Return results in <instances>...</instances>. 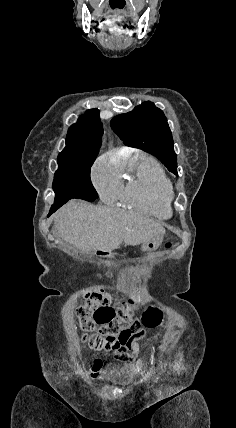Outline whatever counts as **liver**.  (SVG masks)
Here are the masks:
<instances>
[{
	"instance_id": "obj_1",
	"label": "liver",
	"mask_w": 236,
	"mask_h": 428,
	"mask_svg": "<svg viewBox=\"0 0 236 428\" xmlns=\"http://www.w3.org/2000/svg\"><path fill=\"white\" fill-rule=\"evenodd\" d=\"M53 218L58 236L84 252H112L121 244L139 246L165 234V228L148 216L116 212L81 200H70Z\"/></svg>"
}]
</instances>
